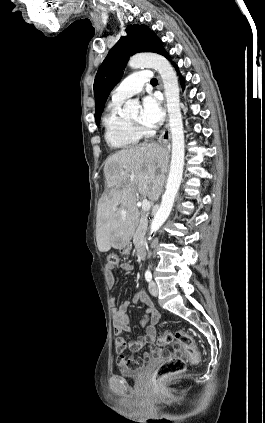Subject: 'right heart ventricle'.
Here are the masks:
<instances>
[{
    "mask_svg": "<svg viewBox=\"0 0 265 423\" xmlns=\"http://www.w3.org/2000/svg\"><path fill=\"white\" fill-rule=\"evenodd\" d=\"M123 101L112 99L103 116L105 140L109 146L128 149L137 145L140 134L133 128L128 119L122 115Z\"/></svg>",
    "mask_w": 265,
    "mask_h": 423,
    "instance_id": "e07e8e85",
    "label": "right heart ventricle"
}]
</instances>
